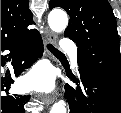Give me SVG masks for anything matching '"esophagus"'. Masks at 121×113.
Here are the masks:
<instances>
[{"label": "esophagus", "mask_w": 121, "mask_h": 113, "mask_svg": "<svg viewBox=\"0 0 121 113\" xmlns=\"http://www.w3.org/2000/svg\"><path fill=\"white\" fill-rule=\"evenodd\" d=\"M53 41H54L53 35L51 34L50 31L46 30L45 34H44L45 48H46V45L48 43H51ZM46 52H47V55H49L47 48H46ZM55 98H56V95H45V96L42 97V101H43L44 104H46L48 106V105H50L54 102Z\"/></svg>", "instance_id": "obj_1"}]
</instances>
